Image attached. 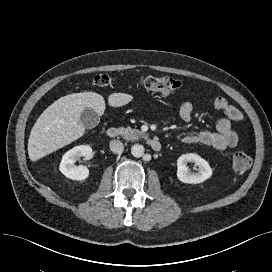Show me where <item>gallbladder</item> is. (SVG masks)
Segmentation results:
<instances>
[{
  "label": "gallbladder",
  "mask_w": 272,
  "mask_h": 272,
  "mask_svg": "<svg viewBox=\"0 0 272 272\" xmlns=\"http://www.w3.org/2000/svg\"><path fill=\"white\" fill-rule=\"evenodd\" d=\"M80 122L86 129L96 127L100 122V116L91 108H85L80 116Z\"/></svg>",
  "instance_id": "1"
}]
</instances>
